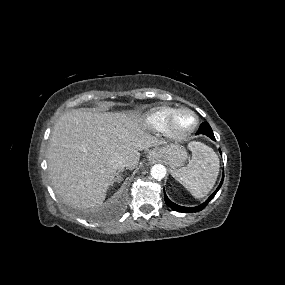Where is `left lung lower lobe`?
<instances>
[{"label": "left lung lower lobe", "instance_id": "1", "mask_svg": "<svg viewBox=\"0 0 285 285\" xmlns=\"http://www.w3.org/2000/svg\"><path fill=\"white\" fill-rule=\"evenodd\" d=\"M196 134H204V135L210 137L212 140H215L213 131H212L210 125L208 123H206V122L201 124V126H200V128H199V130H198V132ZM223 178H224V174H223L222 180H221L218 188L215 190V192L208 198L207 201H205L203 204H201V205H199L197 207H183V206H179V205L171 202L168 199L166 193L164 192L165 202H166V204L169 207H171L172 209H174L175 211H178V212H198V211H201L202 209H204L207 206L209 201L215 196L217 191L220 189V187L222 185V182H223Z\"/></svg>", "mask_w": 285, "mask_h": 285}]
</instances>
